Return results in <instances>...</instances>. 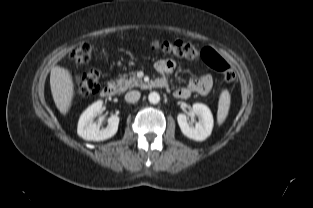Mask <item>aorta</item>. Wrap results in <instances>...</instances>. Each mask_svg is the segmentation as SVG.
Segmentation results:
<instances>
[{
    "label": "aorta",
    "instance_id": "762f6f07",
    "mask_svg": "<svg viewBox=\"0 0 313 208\" xmlns=\"http://www.w3.org/2000/svg\"><path fill=\"white\" fill-rule=\"evenodd\" d=\"M148 100L152 104H157L160 101V95L157 92H151L148 96Z\"/></svg>",
    "mask_w": 313,
    "mask_h": 208
}]
</instances>
